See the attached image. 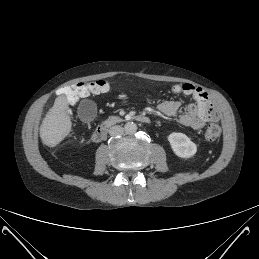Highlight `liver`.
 <instances>
[{
    "label": "liver",
    "mask_w": 259,
    "mask_h": 259,
    "mask_svg": "<svg viewBox=\"0 0 259 259\" xmlns=\"http://www.w3.org/2000/svg\"><path fill=\"white\" fill-rule=\"evenodd\" d=\"M68 102L65 96H58L49 109L40 126V137L43 144L55 147L71 131L72 122L68 113Z\"/></svg>",
    "instance_id": "6515ba94"
}]
</instances>
